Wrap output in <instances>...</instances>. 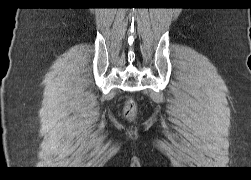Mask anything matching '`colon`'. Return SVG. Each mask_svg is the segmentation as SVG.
Listing matches in <instances>:
<instances>
[{
	"mask_svg": "<svg viewBox=\"0 0 251 180\" xmlns=\"http://www.w3.org/2000/svg\"><path fill=\"white\" fill-rule=\"evenodd\" d=\"M124 114L128 119H133L137 115V105L134 100L129 99L126 103Z\"/></svg>",
	"mask_w": 251,
	"mask_h": 180,
	"instance_id": "1",
	"label": "colon"
}]
</instances>
